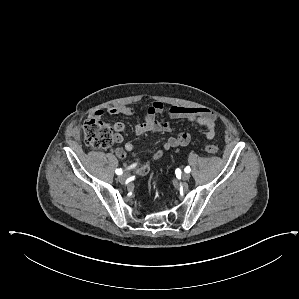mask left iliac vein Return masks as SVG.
<instances>
[{
  "label": "left iliac vein",
  "mask_w": 299,
  "mask_h": 299,
  "mask_svg": "<svg viewBox=\"0 0 299 299\" xmlns=\"http://www.w3.org/2000/svg\"><path fill=\"white\" fill-rule=\"evenodd\" d=\"M181 179H182L183 181H187V180H189V179H190V174H189V173H183V174L181 175Z\"/></svg>",
  "instance_id": "1"
}]
</instances>
